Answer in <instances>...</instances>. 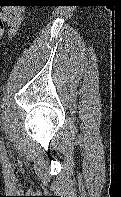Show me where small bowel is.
Returning <instances> with one entry per match:
<instances>
[{
	"label": "small bowel",
	"mask_w": 121,
	"mask_h": 197,
	"mask_svg": "<svg viewBox=\"0 0 121 197\" xmlns=\"http://www.w3.org/2000/svg\"><path fill=\"white\" fill-rule=\"evenodd\" d=\"M0 19L8 25V35L14 36L24 19V8L21 5H3Z\"/></svg>",
	"instance_id": "small-bowel-1"
}]
</instances>
